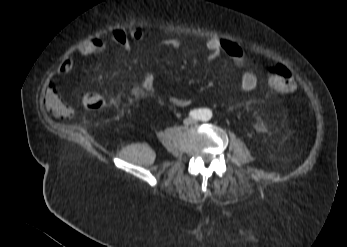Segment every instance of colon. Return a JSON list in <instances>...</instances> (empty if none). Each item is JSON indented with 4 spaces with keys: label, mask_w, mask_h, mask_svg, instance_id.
Segmentation results:
<instances>
[{
    "label": "colon",
    "mask_w": 347,
    "mask_h": 247,
    "mask_svg": "<svg viewBox=\"0 0 347 247\" xmlns=\"http://www.w3.org/2000/svg\"><path fill=\"white\" fill-rule=\"evenodd\" d=\"M268 83L270 88L279 94L292 93L296 84L289 69L283 65L276 64L269 68ZM104 104V98L94 92L88 91L81 95L80 106L83 110L91 112L99 109Z\"/></svg>",
    "instance_id": "obj_1"
}]
</instances>
